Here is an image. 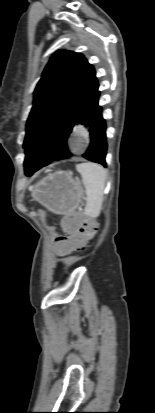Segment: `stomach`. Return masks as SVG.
<instances>
[{"mask_svg": "<svg viewBox=\"0 0 155 413\" xmlns=\"http://www.w3.org/2000/svg\"><path fill=\"white\" fill-rule=\"evenodd\" d=\"M33 197L56 214H68L79 207L84 189L67 172L56 171L34 186Z\"/></svg>", "mask_w": 155, "mask_h": 413, "instance_id": "1", "label": "stomach"}]
</instances>
